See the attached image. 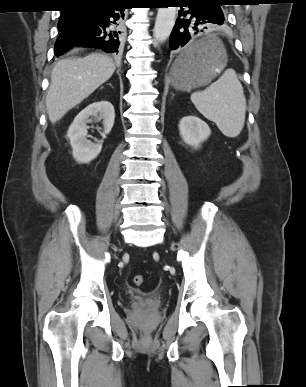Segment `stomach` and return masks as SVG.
Returning <instances> with one entry per match:
<instances>
[{
    "instance_id": "0dacf381",
    "label": "stomach",
    "mask_w": 306,
    "mask_h": 387,
    "mask_svg": "<svg viewBox=\"0 0 306 387\" xmlns=\"http://www.w3.org/2000/svg\"><path fill=\"white\" fill-rule=\"evenodd\" d=\"M205 47V52L186 64L182 56L189 50ZM227 53L222 43L213 35L193 42L174 62L171 71L172 85L176 90L190 91L210 83L227 63Z\"/></svg>"
}]
</instances>
